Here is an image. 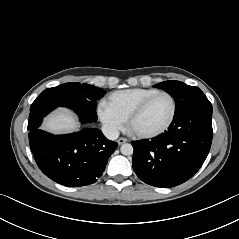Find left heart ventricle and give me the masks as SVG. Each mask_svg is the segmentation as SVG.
Returning a JSON list of instances; mask_svg holds the SVG:
<instances>
[{"mask_svg": "<svg viewBox=\"0 0 239 239\" xmlns=\"http://www.w3.org/2000/svg\"><path fill=\"white\" fill-rule=\"evenodd\" d=\"M171 113V100L165 95H159L133 121L131 128L134 132L138 133L156 131L168 122Z\"/></svg>", "mask_w": 239, "mask_h": 239, "instance_id": "left-heart-ventricle-1", "label": "left heart ventricle"}]
</instances>
